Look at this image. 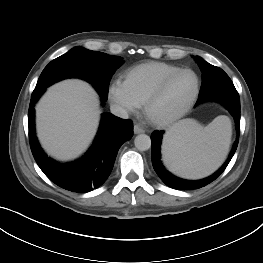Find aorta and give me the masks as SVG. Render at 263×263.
<instances>
[{"mask_svg":"<svg viewBox=\"0 0 263 263\" xmlns=\"http://www.w3.org/2000/svg\"><path fill=\"white\" fill-rule=\"evenodd\" d=\"M134 144L139 151H146L151 147V139L146 134H139L135 137Z\"/></svg>","mask_w":263,"mask_h":263,"instance_id":"obj_1","label":"aorta"}]
</instances>
